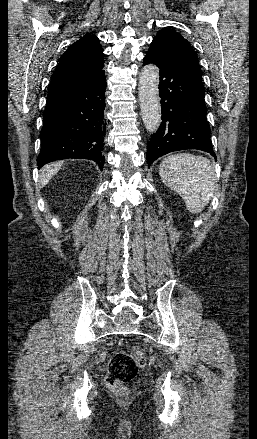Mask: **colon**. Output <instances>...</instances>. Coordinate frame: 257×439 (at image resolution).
<instances>
[{
    "label": "colon",
    "instance_id": "obj_1",
    "mask_svg": "<svg viewBox=\"0 0 257 439\" xmlns=\"http://www.w3.org/2000/svg\"><path fill=\"white\" fill-rule=\"evenodd\" d=\"M146 364V356L142 348L133 345L127 350L116 353L109 365L107 375L108 386L118 395H126L125 383L133 380L140 368Z\"/></svg>",
    "mask_w": 257,
    "mask_h": 439
}]
</instances>
